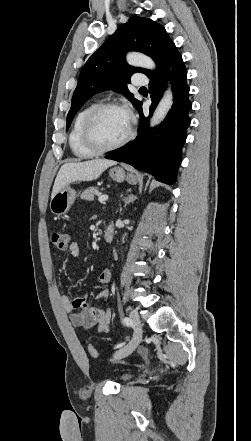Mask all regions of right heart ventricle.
I'll return each mask as SVG.
<instances>
[{
  "mask_svg": "<svg viewBox=\"0 0 251 441\" xmlns=\"http://www.w3.org/2000/svg\"><path fill=\"white\" fill-rule=\"evenodd\" d=\"M91 103L82 108L75 116L69 133V146L72 153L79 159H89L96 155L84 146L81 140V126L86 113L94 106Z\"/></svg>",
  "mask_w": 251,
  "mask_h": 441,
  "instance_id": "1",
  "label": "right heart ventricle"
}]
</instances>
